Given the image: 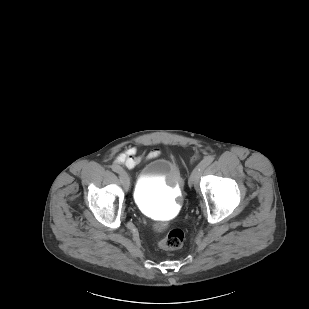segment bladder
<instances>
[{
  "mask_svg": "<svg viewBox=\"0 0 309 309\" xmlns=\"http://www.w3.org/2000/svg\"><path fill=\"white\" fill-rule=\"evenodd\" d=\"M183 177L178 165L156 157L141 170L134 187L136 206L146 214L165 219L173 216L179 205Z\"/></svg>",
  "mask_w": 309,
  "mask_h": 309,
  "instance_id": "1",
  "label": "bladder"
}]
</instances>
